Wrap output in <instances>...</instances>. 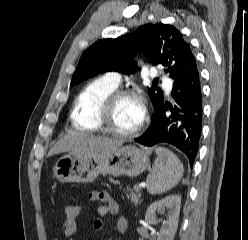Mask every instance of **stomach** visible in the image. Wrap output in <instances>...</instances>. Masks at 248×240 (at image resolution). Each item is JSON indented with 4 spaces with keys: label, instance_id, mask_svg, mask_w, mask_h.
Returning a JSON list of instances; mask_svg holds the SVG:
<instances>
[{
    "label": "stomach",
    "instance_id": "0dacf381",
    "mask_svg": "<svg viewBox=\"0 0 248 240\" xmlns=\"http://www.w3.org/2000/svg\"><path fill=\"white\" fill-rule=\"evenodd\" d=\"M148 167V152L127 145L101 152L66 154L56 162L54 177L60 182L88 183L99 174L135 177Z\"/></svg>",
    "mask_w": 248,
    "mask_h": 240
}]
</instances>
